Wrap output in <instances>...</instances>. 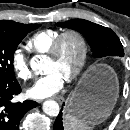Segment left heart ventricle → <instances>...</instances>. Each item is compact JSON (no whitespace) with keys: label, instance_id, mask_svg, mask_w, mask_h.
<instances>
[{"label":"left heart ventricle","instance_id":"b2bd125f","mask_svg":"<svg viewBox=\"0 0 130 130\" xmlns=\"http://www.w3.org/2000/svg\"><path fill=\"white\" fill-rule=\"evenodd\" d=\"M80 57V45L76 38L64 39L59 55L56 58L48 57L46 70H57L65 78L74 70Z\"/></svg>","mask_w":130,"mask_h":130}]
</instances>
